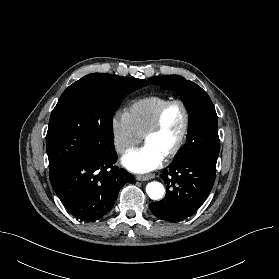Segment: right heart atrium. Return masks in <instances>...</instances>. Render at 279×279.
Wrapping results in <instances>:
<instances>
[{"label":"right heart atrium","mask_w":279,"mask_h":279,"mask_svg":"<svg viewBox=\"0 0 279 279\" xmlns=\"http://www.w3.org/2000/svg\"><path fill=\"white\" fill-rule=\"evenodd\" d=\"M113 143L118 153L125 154L141 140L127 113L117 111L111 119Z\"/></svg>","instance_id":"d8ad5b80"}]
</instances>
